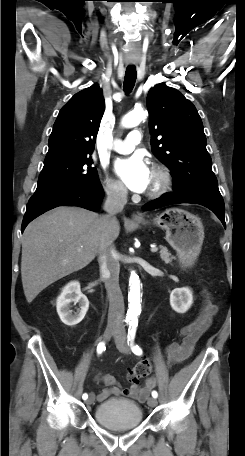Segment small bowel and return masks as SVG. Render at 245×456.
I'll return each mask as SVG.
<instances>
[{
    "instance_id": "1",
    "label": "small bowel",
    "mask_w": 245,
    "mask_h": 456,
    "mask_svg": "<svg viewBox=\"0 0 245 456\" xmlns=\"http://www.w3.org/2000/svg\"><path fill=\"white\" fill-rule=\"evenodd\" d=\"M217 306L212 303L208 293H204L202 306L198 316L181 328L180 339L166 347L167 358L172 363H181L191 356L195 345L202 334L209 328ZM106 386L97 396L98 401H103L109 396H128L137 401H144L156 385V379L150 377L143 386L133 382L129 388H122L111 375L99 378Z\"/></svg>"
}]
</instances>
